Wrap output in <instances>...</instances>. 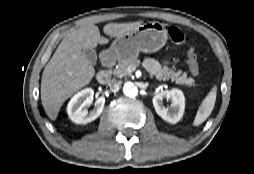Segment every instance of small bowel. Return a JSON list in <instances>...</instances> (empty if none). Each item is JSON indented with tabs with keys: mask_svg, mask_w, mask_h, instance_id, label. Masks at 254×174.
<instances>
[{
	"mask_svg": "<svg viewBox=\"0 0 254 174\" xmlns=\"http://www.w3.org/2000/svg\"><path fill=\"white\" fill-rule=\"evenodd\" d=\"M144 66L149 72L153 74L157 73L160 69V63L157 60L152 58H147L144 61Z\"/></svg>",
	"mask_w": 254,
	"mask_h": 174,
	"instance_id": "obj_1",
	"label": "small bowel"
}]
</instances>
